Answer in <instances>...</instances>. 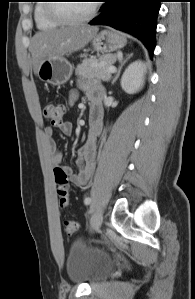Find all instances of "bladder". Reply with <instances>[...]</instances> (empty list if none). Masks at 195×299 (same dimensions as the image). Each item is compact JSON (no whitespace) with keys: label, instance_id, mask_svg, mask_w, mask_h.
I'll list each match as a JSON object with an SVG mask.
<instances>
[{"label":"bladder","instance_id":"bladder-1","mask_svg":"<svg viewBox=\"0 0 195 299\" xmlns=\"http://www.w3.org/2000/svg\"><path fill=\"white\" fill-rule=\"evenodd\" d=\"M112 269L108 255L88 246L85 241H75L68 252L66 270L74 283H92L105 278Z\"/></svg>","mask_w":195,"mask_h":299}]
</instances>
